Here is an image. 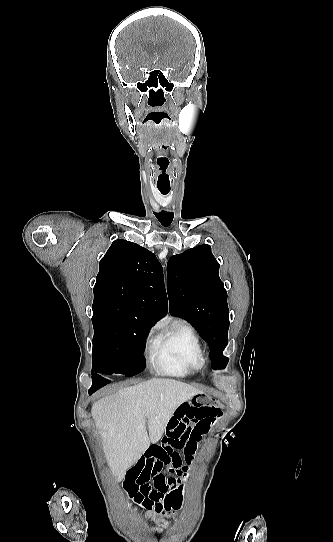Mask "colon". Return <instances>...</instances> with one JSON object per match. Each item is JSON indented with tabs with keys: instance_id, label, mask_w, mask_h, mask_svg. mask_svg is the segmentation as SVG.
<instances>
[{
	"instance_id": "5ec220e1",
	"label": "colon",
	"mask_w": 333,
	"mask_h": 542,
	"mask_svg": "<svg viewBox=\"0 0 333 542\" xmlns=\"http://www.w3.org/2000/svg\"><path fill=\"white\" fill-rule=\"evenodd\" d=\"M185 471L188 473L190 470L187 468ZM176 490L179 493H183L186 490V487L182 484L181 487H176ZM126 491H127V489H126ZM175 496H176V493L173 490H170L167 493V495L164 498V501L167 504V507H171V505L175 503V501H176Z\"/></svg>"
}]
</instances>
